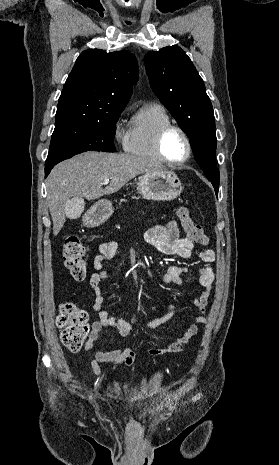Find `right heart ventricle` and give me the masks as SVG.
<instances>
[{
  "label": "right heart ventricle",
  "mask_w": 279,
  "mask_h": 465,
  "mask_svg": "<svg viewBox=\"0 0 279 465\" xmlns=\"http://www.w3.org/2000/svg\"><path fill=\"white\" fill-rule=\"evenodd\" d=\"M171 123V118L163 106L159 104L143 106L131 120L124 150L138 158L162 163L156 151L155 140L159 130Z\"/></svg>",
  "instance_id": "1"
}]
</instances>
